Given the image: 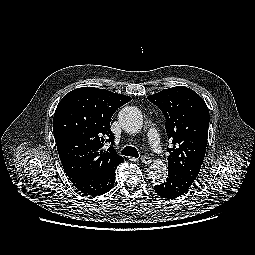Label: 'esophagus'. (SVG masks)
I'll list each match as a JSON object with an SVG mask.
<instances>
[{
	"instance_id": "34e87169",
	"label": "esophagus",
	"mask_w": 255,
	"mask_h": 255,
	"mask_svg": "<svg viewBox=\"0 0 255 255\" xmlns=\"http://www.w3.org/2000/svg\"><path fill=\"white\" fill-rule=\"evenodd\" d=\"M141 162L146 165H149L152 162V159L149 156H143L141 157Z\"/></svg>"
}]
</instances>
